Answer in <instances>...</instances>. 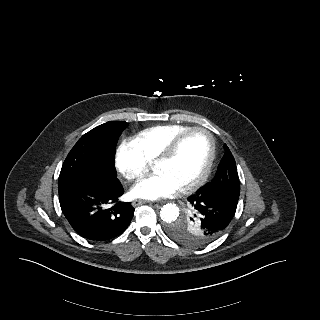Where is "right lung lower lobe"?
Segmentation results:
<instances>
[{"mask_svg":"<svg viewBox=\"0 0 320 320\" xmlns=\"http://www.w3.org/2000/svg\"><path fill=\"white\" fill-rule=\"evenodd\" d=\"M63 214L72 228L90 241H107L129 226L134 208L118 198L124 193L120 181L90 178L58 188Z\"/></svg>","mask_w":320,"mask_h":320,"instance_id":"1","label":"right lung lower lobe"}]
</instances>
